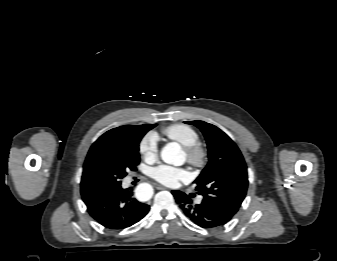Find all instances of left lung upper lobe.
I'll return each mask as SVG.
<instances>
[{
  "instance_id": "1",
  "label": "left lung upper lobe",
  "mask_w": 337,
  "mask_h": 261,
  "mask_svg": "<svg viewBox=\"0 0 337 261\" xmlns=\"http://www.w3.org/2000/svg\"><path fill=\"white\" fill-rule=\"evenodd\" d=\"M198 127L208 146L209 162L194 181L196 191L235 215L246 195L247 167L236 144L219 128L204 121L185 122Z\"/></svg>"
}]
</instances>
